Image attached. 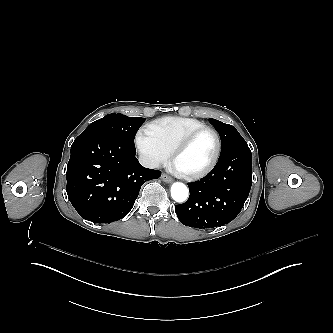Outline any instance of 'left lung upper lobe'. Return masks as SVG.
Wrapping results in <instances>:
<instances>
[{"mask_svg": "<svg viewBox=\"0 0 333 333\" xmlns=\"http://www.w3.org/2000/svg\"><path fill=\"white\" fill-rule=\"evenodd\" d=\"M209 121L218 131L221 138L222 149L220 156L226 155L237 147L247 145L246 141L232 125L212 118Z\"/></svg>", "mask_w": 333, "mask_h": 333, "instance_id": "5c2ea615", "label": "left lung upper lobe"}]
</instances>
